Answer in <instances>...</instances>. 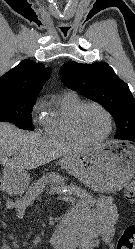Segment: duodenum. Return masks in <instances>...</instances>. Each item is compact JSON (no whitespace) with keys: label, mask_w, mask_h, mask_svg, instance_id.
Returning a JSON list of instances; mask_svg holds the SVG:
<instances>
[{"label":"duodenum","mask_w":135,"mask_h":249,"mask_svg":"<svg viewBox=\"0 0 135 249\" xmlns=\"http://www.w3.org/2000/svg\"><path fill=\"white\" fill-rule=\"evenodd\" d=\"M91 239L88 234L77 235L73 238H68L63 244L64 249H89Z\"/></svg>","instance_id":"duodenum-1"}]
</instances>
